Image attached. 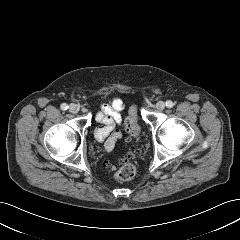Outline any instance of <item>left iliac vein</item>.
<instances>
[{
  "mask_svg": "<svg viewBox=\"0 0 240 240\" xmlns=\"http://www.w3.org/2000/svg\"><path fill=\"white\" fill-rule=\"evenodd\" d=\"M157 110H163L165 108V103L163 101H159L155 105Z\"/></svg>",
  "mask_w": 240,
  "mask_h": 240,
  "instance_id": "obj_1",
  "label": "left iliac vein"
}]
</instances>
